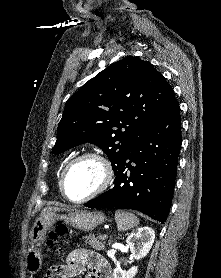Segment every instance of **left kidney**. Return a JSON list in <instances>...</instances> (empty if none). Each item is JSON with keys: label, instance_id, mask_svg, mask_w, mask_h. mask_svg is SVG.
<instances>
[{"label": "left kidney", "instance_id": "1", "mask_svg": "<svg viewBox=\"0 0 221 278\" xmlns=\"http://www.w3.org/2000/svg\"><path fill=\"white\" fill-rule=\"evenodd\" d=\"M155 239L154 230L150 227H140L132 232L126 239L127 246L130 248L131 256L136 260L144 258L150 251ZM138 272V267L133 266L128 271L115 268L114 278H133Z\"/></svg>", "mask_w": 221, "mask_h": 278}]
</instances>
